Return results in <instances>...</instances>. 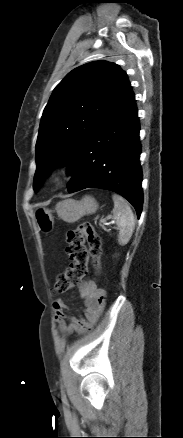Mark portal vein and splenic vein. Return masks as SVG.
Instances as JSON below:
<instances>
[{
	"label": "portal vein and splenic vein",
	"mask_w": 183,
	"mask_h": 438,
	"mask_svg": "<svg viewBox=\"0 0 183 438\" xmlns=\"http://www.w3.org/2000/svg\"><path fill=\"white\" fill-rule=\"evenodd\" d=\"M109 219H110V218H104V219H102V220H101L102 224L105 225V226L110 225V224L112 223V221H111V222H108Z\"/></svg>",
	"instance_id": "1"
}]
</instances>
